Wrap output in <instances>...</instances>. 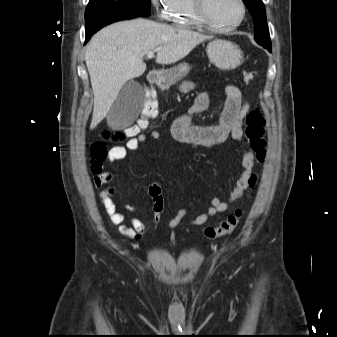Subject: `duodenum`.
<instances>
[{"label":"duodenum","instance_id":"1","mask_svg":"<svg viewBox=\"0 0 337 337\" xmlns=\"http://www.w3.org/2000/svg\"><path fill=\"white\" fill-rule=\"evenodd\" d=\"M148 81L153 86H159L162 83V74L160 72H150L148 74Z\"/></svg>","mask_w":337,"mask_h":337}]
</instances>
